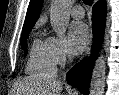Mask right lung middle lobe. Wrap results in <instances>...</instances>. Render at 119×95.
Here are the masks:
<instances>
[{"label":"right lung middle lobe","instance_id":"obj_1","mask_svg":"<svg viewBox=\"0 0 119 95\" xmlns=\"http://www.w3.org/2000/svg\"><path fill=\"white\" fill-rule=\"evenodd\" d=\"M29 32H30V30L22 33V36H21V45H22L23 49L25 50V55L27 54V49H26L27 43H26V41H27Z\"/></svg>","mask_w":119,"mask_h":95}]
</instances>
